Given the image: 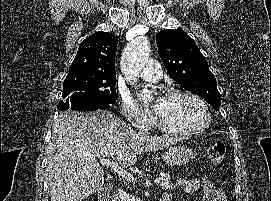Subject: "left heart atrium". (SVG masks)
Returning a JSON list of instances; mask_svg holds the SVG:
<instances>
[{
	"instance_id": "1",
	"label": "left heart atrium",
	"mask_w": 271,
	"mask_h": 201,
	"mask_svg": "<svg viewBox=\"0 0 271 201\" xmlns=\"http://www.w3.org/2000/svg\"><path fill=\"white\" fill-rule=\"evenodd\" d=\"M160 100H161V99L157 100L155 104H159Z\"/></svg>"
}]
</instances>
